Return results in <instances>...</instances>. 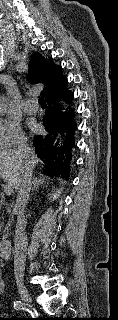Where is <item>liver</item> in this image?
I'll return each instance as SVG.
<instances>
[{
  "instance_id": "1",
  "label": "liver",
  "mask_w": 118,
  "mask_h": 320,
  "mask_svg": "<svg viewBox=\"0 0 118 320\" xmlns=\"http://www.w3.org/2000/svg\"><path fill=\"white\" fill-rule=\"evenodd\" d=\"M39 159L34 156L32 171L38 164ZM25 162L18 150H0V178L18 189L22 174L24 173Z\"/></svg>"
}]
</instances>
